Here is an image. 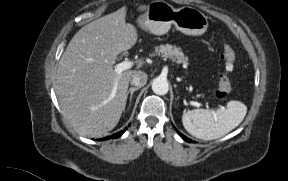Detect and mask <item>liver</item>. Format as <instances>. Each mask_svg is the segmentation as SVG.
<instances>
[{"mask_svg": "<svg viewBox=\"0 0 288 181\" xmlns=\"http://www.w3.org/2000/svg\"><path fill=\"white\" fill-rule=\"evenodd\" d=\"M148 6H139L138 11ZM127 7L82 27L61 56L55 91L64 118L79 134L100 137L118 124L136 69L117 74V56L137 41L136 28L126 23Z\"/></svg>", "mask_w": 288, "mask_h": 181, "instance_id": "6515ba94", "label": "liver"}]
</instances>
